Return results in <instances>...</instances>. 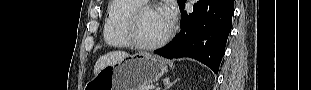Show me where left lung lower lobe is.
I'll return each mask as SVG.
<instances>
[{
  "mask_svg": "<svg viewBox=\"0 0 311 90\" xmlns=\"http://www.w3.org/2000/svg\"><path fill=\"white\" fill-rule=\"evenodd\" d=\"M185 4V3H184ZM182 13L181 31L175 40L154 52L163 57L194 58L218 73L231 31L234 0H199L193 13Z\"/></svg>",
  "mask_w": 311,
  "mask_h": 90,
  "instance_id": "0a47b994",
  "label": "left lung lower lobe"
}]
</instances>
